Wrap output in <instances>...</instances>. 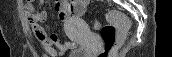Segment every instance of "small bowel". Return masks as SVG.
Instances as JSON below:
<instances>
[{"label": "small bowel", "instance_id": "small-bowel-1", "mask_svg": "<svg viewBox=\"0 0 172 57\" xmlns=\"http://www.w3.org/2000/svg\"><path fill=\"white\" fill-rule=\"evenodd\" d=\"M88 2L87 0L57 1L56 9L58 19L61 22H70L72 19L83 14ZM43 5V0L36 2L26 1L24 3L26 20L41 48L52 56L65 53L75 48L76 44L74 41L62 40L56 32L47 34L41 26V23L46 19V12L43 10ZM30 9H33L34 12H30ZM54 46L58 47V51Z\"/></svg>", "mask_w": 172, "mask_h": 57}]
</instances>
